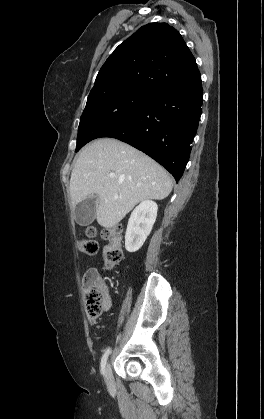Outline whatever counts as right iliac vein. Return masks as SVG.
<instances>
[{"label":"right iliac vein","mask_w":264,"mask_h":419,"mask_svg":"<svg viewBox=\"0 0 264 419\" xmlns=\"http://www.w3.org/2000/svg\"><path fill=\"white\" fill-rule=\"evenodd\" d=\"M106 381L108 385H111L113 383V377H112V371H111V367L110 364L108 363L106 365Z\"/></svg>","instance_id":"right-iliac-vein-1"}]
</instances>
